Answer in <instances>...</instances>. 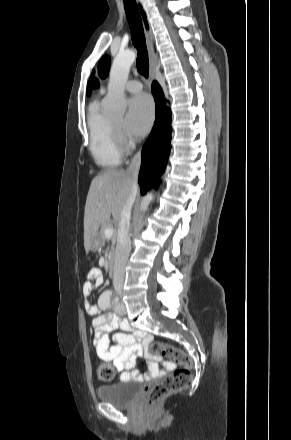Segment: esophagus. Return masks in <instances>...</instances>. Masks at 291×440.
Segmentation results:
<instances>
[{
  "instance_id": "1",
  "label": "esophagus",
  "mask_w": 291,
  "mask_h": 440,
  "mask_svg": "<svg viewBox=\"0 0 291 440\" xmlns=\"http://www.w3.org/2000/svg\"><path fill=\"white\" fill-rule=\"evenodd\" d=\"M136 2L141 17L142 25L144 28L146 44L149 52V59L151 62L150 71H149V82H152L154 79L153 63L156 60L153 42H152V29L148 19L147 12L145 11L143 4L139 0H136Z\"/></svg>"
}]
</instances>
